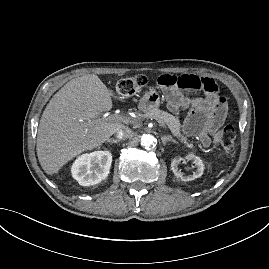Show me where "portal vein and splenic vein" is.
<instances>
[{
  "instance_id": "portal-vein-and-splenic-vein-1",
  "label": "portal vein and splenic vein",
  "mask_w": 269,
  "mask_h": 269,
  "mask_svg": "<svg viewBox=\"0 0 269 269\" xmlns=\"http://www.w3.org/2000/svg\"><path fill=\"white\" fill-rule=\"evenodd\" d=\"M107 119L108 120H111V121H121V122H126L129 118H127V117H123V116H121V115H119V114H112V115H109L108 117H107ZM160 123V125L162 126V127H164L165 125H163L161 122H159Z\"/></svg>"
}]
</instances>
